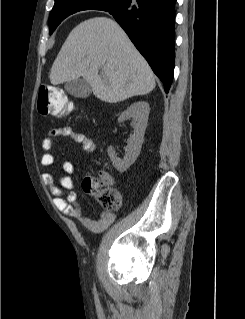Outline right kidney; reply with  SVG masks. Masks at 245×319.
Masks as SVG:
<instances>
[{
	"label": "right kidney",
	"instance_id": "ca27d5eb",
	"mask_svg": "<svg viewBox=\"0 0 245 319\" xmlns=\"http://www.w3.org/2000/svg\"><path fill=\"white\" fill-rule=\"evenodd\" d=\"M150 107L146 101H137L133 103L118 118V122H124L130 118L135 122L134 133L127 141L124 159L117 158L115 150L112 146L108 147V155L119 172H125L137 159L140 154L141 146L144 141V133L148 123Z\"/></svg>",
	"mask_w": 245,
	"mask_h": 319
}]
</instances>
